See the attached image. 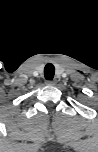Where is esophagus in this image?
Wrapping results in <instances>:
<instances>
[{
	"label": "esophagus",
	"instance_id": "esophagus-1",
	"mask_svg": "<svg viewBox=\"0 0 98 152\" xmlns=\"http://www.w3.org/2000/svg\"><path fill=\"white\" fill-rule=\"evenodd\" d=\"M45 83L46 85H50V86L55 85V81L52 80H47Z\"/></svg>",
	"mask_w": 98,
	"mask_h": 152
}]
</instances>
